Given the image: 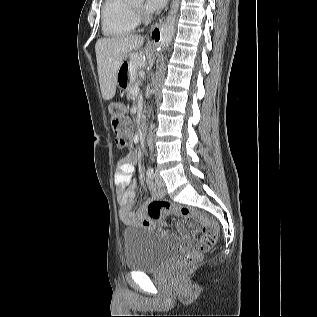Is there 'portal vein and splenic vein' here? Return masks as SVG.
<instances>
[{"mask_svg":"<svg viewBox=\"0 0 317 317\" xmlns=\"http://www.w3.org/2000/svg\"><path fill=\"white\" fill-rule=\"evenodd\" d=\"M139 86H135L134 87V89H133V91H132V93L134 94V95H137L138 93H139Z\"/></svg>","mask_w":317,"mask_h":317,"instance_id":"obj_1","label":"portal vein and splenic vein"}]
</instances>
